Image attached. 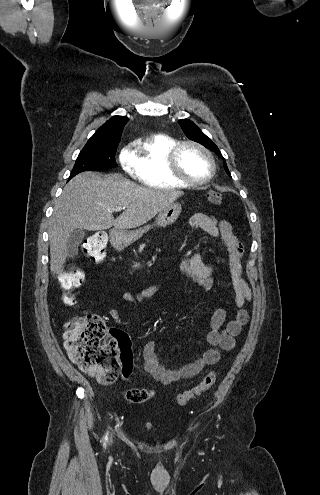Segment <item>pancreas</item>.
Returning a JSON list of instances; mask_svg holds the SVG:
<instances>
[{
    "label": "pancreas",
    "mask_w": 320,
    "mask_h": 495,
    "mask_svg": "<svg viewBox=\"0 0 320 495\" xmlns=\"http://www.w3.org/2000/svg\"><path fill=\"white\" fill-rule=\"evenodd\" d=\"M145 247V244L140 245L139 251L141 252Z\"/></svg>",
    "instance_id": "pancreas-1"
}]
</instances>
